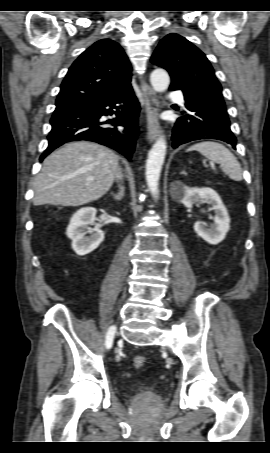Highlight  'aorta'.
I'll return each mask as SVG.
<instances>
[{
	"label": "aorta",
	"mask_w": 270,
	"mask_h": 453,
	"mask_svg": "<svg viewBox=\"0 0 270 453\" xmlns=\"http://www.w3.org/2000/svg\"><path fill=\"white\" fill-rule=\"evenodd\" d=\"M150 82L156 92H164L168 89L170 78L164 69H155L150 75ZM167 150L164 136H161L153 144L146 161V182L155 199L159 194V178Z\"/></svg>",
	"instance_id": "aorta-1"
}]
</instances>
